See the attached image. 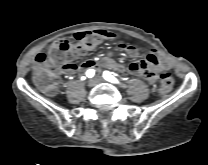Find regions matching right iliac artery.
Masks as SVG:
<instances>
[{"mask_svg": "<svg viewBox=\"0 0 208 165\" xmlns=\"http://www.w3.org/2000/svg\"><path fill=\"white\" fill-rule=\"evenodd\" d=\"M94 70L90 69L86 72L87 77L92 78L94 76Z\"/></svg>", "mask_w": 208, "mask_h": 165, "instance_id": "obj_1", "label": "right iliac artery"}]
</instances>
